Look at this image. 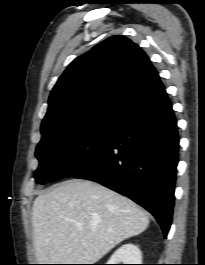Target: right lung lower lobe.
Segmentation results:
<instances>
[{
	"label": "right lung lower lobe",
	"mask_w": 205,
	"mask_h": 265,
	"mask_svg": "<svg viewBox=\"0 0 205 265\" xmlns=\"http://www.w3.org/2000/svg\"><path fill=\"white\" fill-rule=\"evenodd\" d=\"M178 151L177 122L165 91L151 106L120 122L111 142L73 176L132 199L153 214L166 237L172 221Z\"/></svg>",
	"instance_id": "98d812e1"
}]
</instances>
